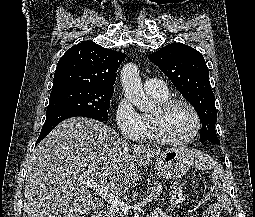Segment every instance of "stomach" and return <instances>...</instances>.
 Segmentation results:
<instances>
[{"label":"stomach","instance_id":"0dacf381","mask_svg":"<svg viewBox=\"0 0 255 217\" xmlns=\"http://www.w3.org/2000/svg\"><path fill=\"white\" fill-rule=\"evenodd\" d=\"M187 156L181 148L166 150L156 159L158 174L163 179L180 178L186 171Z\"/></svg>","mask_w":255,"mask_h":217}]
</instances>
